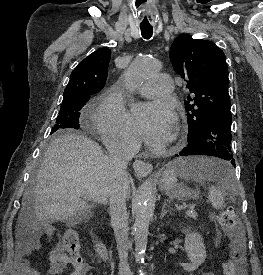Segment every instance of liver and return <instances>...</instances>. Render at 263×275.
I'll return each instance as SVG.
<instances>
[{"mask_svg": "<svg viewBox=\"0 0 263 275\" xmlns=\"http://www.w3.org/2000/svg\"><path fill=\"white\" fill-rule=\"evenodd\" d=\"M111 185L108 156L99 144L78 133L62 134L47 148L34 187L33 206L28 204L26 193L18 223L32 219L74 223L90 213L93 205L86 200L107 202Z\"/></svg>", "mask_w": 263, "mask_h": 275, "instance_id": "liver-1", "label": "liver"}]
</instances>
